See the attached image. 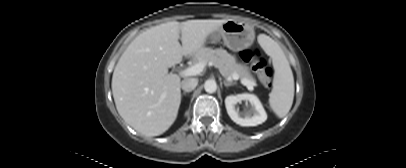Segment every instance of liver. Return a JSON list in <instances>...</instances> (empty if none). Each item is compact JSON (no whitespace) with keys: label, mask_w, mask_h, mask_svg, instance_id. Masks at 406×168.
Listing matches in <instances>:
<instances>
[{"label":"liver","mask_w":406,"mask_h":168,"mask_svg":"<svg viewBox=\"0 0 406 168\" xmlns=\"http://www.w3.org/2000/svg\"><path fill=\"white\" fill-rule=\"evenodd\" d=\"M226 21H172L139 34L121 55L112 76L113 98L123 120L146 136L167 131L181 103L180 77L168 74V68L183 56L205 53L208 36Z\"/></svg>","instance_id":"6515ba94"}]
</instances>
